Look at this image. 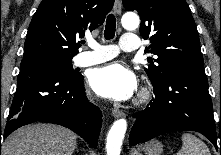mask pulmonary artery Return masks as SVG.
Segmentation results:
<instances>
[{"label": "pulmonary artery", "instance_id": "e3ab8cb5", "mask_svg": "<svg viewBox=\"0 0 221 155\" xmlns=\"http://www.w3.org/2000/svg\"><path fill=\"white\" fill-rule=\"evenodd\" d=\"M91 51L79 53L74 63L78 66H90L102 63L114 58L118 54V49L112 45H101L93 40L88 41ZM140 46L139 38L132 33H126L121 37L120 48L126 52L136 51Z\"/></svg>", "mask_w": 221, "mask_h": 155}]
</instances>
